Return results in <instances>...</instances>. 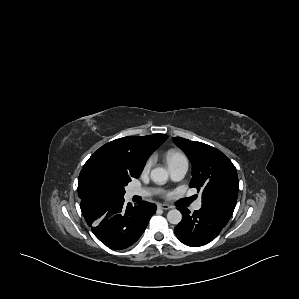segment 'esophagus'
Listing matches in <instances>:
<instances>
[{"label": "esophagus", "mask_w": 299, "mask_h": 299, "mask_svg": "<svg viewBox=\"0 0 299 299\" xmlns=\"http://www.w3.org/2000/svg\"><path fill=\"white\" fill-rule=\"evenodd\" d=\"M158 208H160L162 210H169V209H171V206H169L167 204H158Z\"/></svg>", "instance_id": "1"}]
</instances>
